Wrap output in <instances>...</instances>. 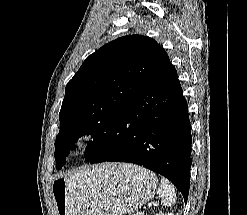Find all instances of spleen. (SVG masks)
<instances>
[{"mask_svg":"<svg viewBox=\"0 0 247 215\" xmlns=\"http://www.w3.org/2000/svg\"><path fill=\"white\" fill-rule=\"evenodd\" d=\"M157 193L161 198V204L164 207L172 206L176 202L174 186L166 178L160 180Z\"/></svg>","mask_w":247,"mask_h":215,"instance_id":"spleen-1","label":"spleen"}]
</instances>
